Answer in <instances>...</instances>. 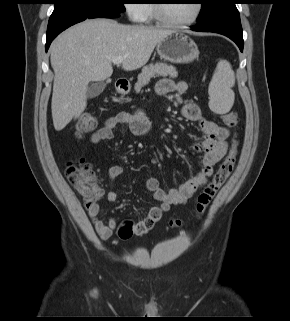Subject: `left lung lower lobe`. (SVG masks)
I'll list each match as a JSON object with an SVG mask.
<instances>
[{
  "instance_id": "1",
  "label": "left lung lower lobe",
  "mask_w": 290,
  "mask_h": 321,
  "mask_svg": "<svg viewBox=\"0 0 290 321\" xmlns=\"http://www.w3.org/2000/svg\"><path fill=\"white\" fill-rule=\"evenodd\" d=\"M236 4V3H235ZM194 31L215 32L229 37L233 40L241 52L243 51V34L240 15L236 6H232L213 19L203 23H198L192 27Z\"/></svg>"
}]
</instances>
